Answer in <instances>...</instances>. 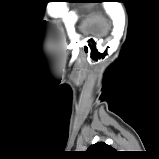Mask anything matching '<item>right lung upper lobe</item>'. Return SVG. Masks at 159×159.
Here are the masks:
<instances>
[{
    "instance_id": "1",
    "label": "right lung upper lobe",
    "mask_w": 159,
    "mask_h": 159,
    "mask_svg": "<svg viewBox=\"0 0 159 159\" xmlns=\"http://www.w3.org/2000/svg\"><path fill=\"white\" fill-rule=\"evenodd\" d=\"M87 151L90 155L96 156L95 159H105L108 153L114 152V149L103 142H98L91 145Z\"/></svg>"
}]
</instances>
